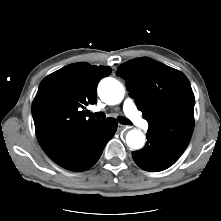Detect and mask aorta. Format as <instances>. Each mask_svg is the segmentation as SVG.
Wrapping results in <instances>:
<instances>
[{
  "mask_svg": "<svg viewBox=\"0 0 221 221\" xmlns=\"http://www.w3.org/2000/svg\"><path fill=\"white\" fill-rule=\"evenodd\" d=\"M124 87L116 79L107 77L100 81L98 94L102 101L114 105L122 101L124 97ZM127 145L132 149H140L145 142V136L140 130H130L126 135Z\"/></svg>",
  "mask_w": 221,
  "mask_h": 221,
  "instance_id": "obj_1",
  "label": "aorta"
}]
</instances>
